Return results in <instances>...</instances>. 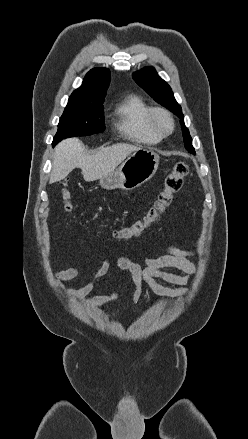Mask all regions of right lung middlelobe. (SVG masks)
<instances>
[{"instance_id":"right-lung-middle-lobe-1","label":"right lung middle lobe","mask_w":248,"mask_h":439,"mask_svg":"<svg viewBox=\"0 0 248 439\" xmlns=\"http://www.w3.org/2000/svg\"><path fill=\"white\" fill-rule=\"evenodd\" d=\"M103 102H69L60 117L58 131L53 139L55 146L68 137L88 136L104 131Z\"/></svg>"}]
</instances>
